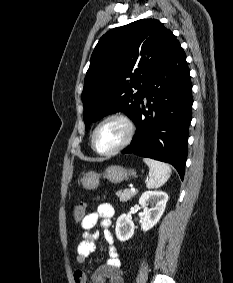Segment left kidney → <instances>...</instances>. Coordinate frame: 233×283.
I'll list each match as a JSON object with an SVG mask.
<instances>
[{
  "label": "left kidney",
  "instance_id": "5707ae66",
  "mask_svg": "<svg viewBox=\"0 0 233 283\" xmlns=\"http://www.w3.org/2000/svg\"><path fill=\"white\" fill-rule=\"evenodd\" d=\"M168 201V195L163 191H147L139 199L140 206L144 209L141 229L150 230L160 220ZM151 203L152 207L147 206ZM116 236L120 241L129 240L134 234V223L130 215L122 214L116 222Z\"/></svg>",
  "mask_w": 233,
  "mask_h": 283
}]
</instances>
